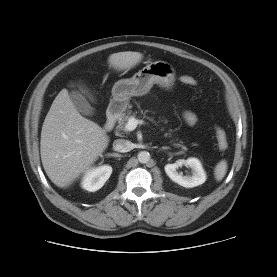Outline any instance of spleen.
Masks as SVG:
<instances>
[{"label": "spleen", "instance_id": "spleen-1", "mask_svg": "<svg viewBox=\"0 0 277 277\" xmlns=\"http://www.w3.org/2000/svg\"><path fill=\"white\" fill-rule=\"evenodd\" d=\"M227 162L225 160H221L214 169V175H215V179L217 181H221L224 176L226 175L227 172Z\"/></svg>", "mask_w": 277, "mask_h": 277}]
</instances>
